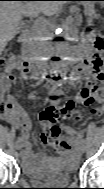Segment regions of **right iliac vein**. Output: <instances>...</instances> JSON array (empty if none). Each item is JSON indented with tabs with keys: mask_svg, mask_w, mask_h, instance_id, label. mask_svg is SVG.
I'll use <instances>...</instances> for the list:
<instances>
[{
	"mask_svg": "<svg viewBox=\"0 0 104 189\" xmlns=\"http://www.w3.org/2000/svg\"><path fill=\"white\" fill-rule=\"evenodd\" d=\"M14 147H15L16 150H21V148H22L21 143H20V142H17V141H16Z\"/></svg>",
	"mask_w": 104,
	"mask_h": 189,
	"instance_id": "63e3f726",
	"label": "right iliac vein"
}]
</instances>
